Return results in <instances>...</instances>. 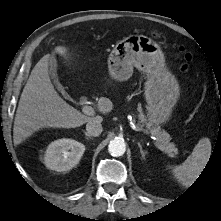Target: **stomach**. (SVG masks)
Wrapping results in <instances>:
<instances>
[{
    "mask_svg": "<svg viewBox=\"0 0 221 221\" xmlns=\"http://www.w3.org/2000/svg\"><path fill=\"white\" fill-rule=\"evenodd\" d=\"M133 67L146 73L145 99L149 125L166 123L179 98L176 78L165 66L161 47L146 36H129L118 42L108 58L111 77L117 81L128 80Z\"/></svg>",
    "mask_w": 221,
    "mask_h": 221,
    "instance_id": "0dacf381",
    "label": "stomach"
}]
</instances>
